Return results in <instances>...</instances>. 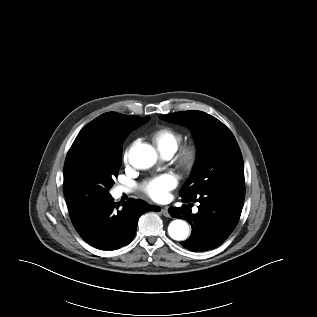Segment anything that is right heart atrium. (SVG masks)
Listing matches in <instances>:
<instances>
[{
  "instance_id": "right-heart-atrium-1",
  "label": "right heart atrium",
  "mask_w": 317,
  "mask_h": 317,
  "mask_svg": "<svg viewBox=\"0 0 317 317\" xmlns=\"http://www.w3.org/2000/svg\"><path fill=\"white\" fill-rule=\"evenodd\" d=\"M123 161L126 163L128 161V149L123 154Z\"/></svg>"
}]
</instances>
